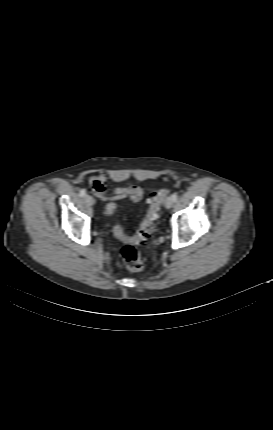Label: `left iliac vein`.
Returning a JSON list of instances; mask_svg holds the SVG:
<instances>
[{
    "label": "left iliac vein",
    "mask_w": 273,
    "mask_h": 430,
    "mask_svg": "<svg viewBox=\"0 0 273 430\" xmlns=\"http://www.w3.org/2000/svg\"><path fill=\"white\" fill-rule=\"evenodd\" d=\"M173 204H174V200H173V198H172L171 196H170V197H168V198L166 199V201H165V207H166L167 209H170V208H172Z\"/></svg>",
    "instance_id": "obj_1"
}]
</instances>
